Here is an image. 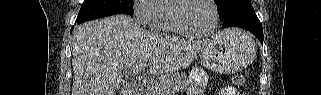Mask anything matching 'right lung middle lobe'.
<instances>
[{"instance_id": "dd1d6c3e", "label": "right lung middle lobe", "mask_w": 321, "mask_h": 95, "mask_svg": "<svg viewBox=\"0 0 321 95\" xmlns=\"http://www.w3.org/2000/svg\"><path fill=\"white\" fill-rule=\"evenodd\" d=\"M115 14L133 16V0H84L75 23Z\"/></svg>"}]
</instances>
